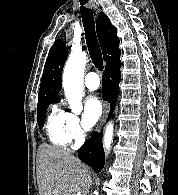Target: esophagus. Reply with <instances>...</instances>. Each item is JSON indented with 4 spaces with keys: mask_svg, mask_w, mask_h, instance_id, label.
I'll return each instance as SVG.
<instances>
[{
    "mask_svg": "<svg viewBox=\"0 0 178 195\" xmlns=\"http://www.w3.org/2000/svg\"><path fill=\"white\" fill-rule=\"evenodd\" d=\"M108 112H109V104L107 102L104 103V110H103V114L98 122V125H97V131H100L106 118H107V115H108Z\"/></svg>",
    "mask_w": 178,
    "mask_h": 195,
    "instance_id": "34e87169",
    "label": "esophagus"
}]
</instances>
